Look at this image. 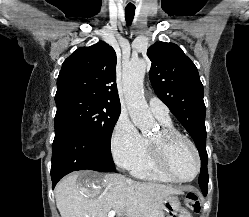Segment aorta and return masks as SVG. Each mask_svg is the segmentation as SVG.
<instances>
[{
  "mask_svg": "<svg viewBox=\"0 0 249 217\" xmlns=\"http://www.w3.org/2000/svg\"><path fill=\"white\" fill-rule=\"evenodd\" d=\"M146 63L136 60L129 63L123 72L125 100L130 117L142 133L150 132L156 125L144 97L143 80Z\"/></svg>",
  "mask_w": 249,
  "mask_h": 217,
  "instance_id": "1",
  "label": "aorta"
}]
</instances>
